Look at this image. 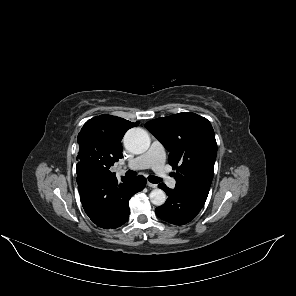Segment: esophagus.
Here are the masks:
<instances>
[{"mask_svg":"<svg viewBox=\"0 0 296 296\" xmlns=\"http://www.w3.org/2000/svg\"><path fill=\"white\" fill-rule=\"evenodd\" d=\"M147 185L149 186V187H151V188H157V184H153V183H151V182H147Z\"/></svg>","mask_w":296,"mask_h":296,"instance_id":"esophagus-1","label":"esophagus"}]
</instances>
